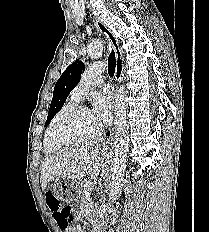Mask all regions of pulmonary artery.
<instances>
[{"label":"pulmonary artery","instance_id":"e3ab8cb5","mask_svg":"<svg viewBox=\"0 0 209 232\" xmlns=\"http://www.w3.org/2000/svg\"><path fill=\"white\" fill-rule=\"evenodd\" d=\"M106 65L98 62L90 65L82 74L77 86L71 92V99L79 101L93 87L103 82Z\"/></svg>","mask_w":209,"mask_h":232}]
</instances>
